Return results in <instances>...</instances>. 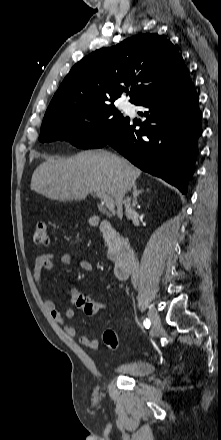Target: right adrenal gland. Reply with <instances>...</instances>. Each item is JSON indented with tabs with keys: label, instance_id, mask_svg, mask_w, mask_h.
I'll use <instances>...</instances> for the list:
<instances>
[{
	"label": "right adrenal gland",
	"instance_id": "1",
	"mask_svg": "<svg viewBox=\"0 0 221 440\" xmlns=\"http://www.w3.org/2000/svg\"><path fill=\"white\" fill-rule=\"evenodd\" d=\"M143 189H137L136 184L133 186V199H132V206L137 205V197L143 192Z\"/></svg>",
	"mask_w": 221,
	"mask_h": 440
}]
</instances>
